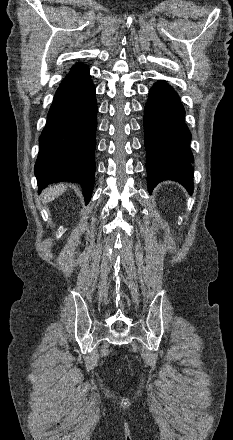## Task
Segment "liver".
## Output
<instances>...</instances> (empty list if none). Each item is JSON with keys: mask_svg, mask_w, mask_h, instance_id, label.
Returning <instances> with one entry per match:
<instances>
[{"mask_svg": "<svg viewBox=\"0 0 233 440\" xmlns=\"http://www.w3.org/2000/svg\"><path fill=\"white\" fill-rule=\"evenodd\" d=\"M65 190H66L65 184H57V185L50 186L49 188H47L43 192V195H44L43 201L45 203L52 201L56 197L60 196Z\"/></svg>", "mask_w": 233, "mask_h": 440, "instance_id": "6515ba94", "label": "liver"}]
</instances>
